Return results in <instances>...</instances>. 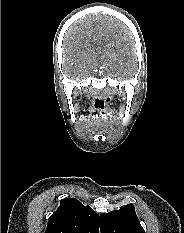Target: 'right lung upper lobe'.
Listing matches in <instances>:
<instances>
[{
  "label": "right lung upper lobe",
  "mask_w": 184,
  "mask_h": 233,
  "mask_svg": "<svg viewBox=\"0 0 184 233\" xmlns=\"http://www.w3.org/2000/svg\"><path fill=\"white\" fill-rule=\"evenodd\" d=\"M45 233H99L98 215L75 198L62 199L49 217Z\"/></svg>",
  "instance_id": "right-lung-upper-lobe-1"
}]
</instances>
